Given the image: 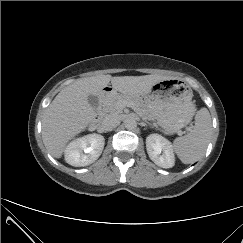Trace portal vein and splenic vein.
Masks as SVG:
<instances>
[{
  "label": "portal vein and splenic vein",
  "instance_id": "obj_1",
  "mask_svg": "<svg viewBox=\"0 0 243 243\" xmlns=\"http://www.w3.org/2000/svg\"><path fill=\"white\" fill-rule=\"evenodd\" d=\"M126 105L125 104H121V107L124 108Z\"/></svg>",
  "mask_w": 243,
  "mask_h": 243
}]
</instances>
